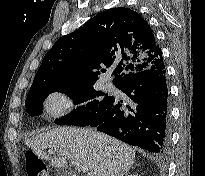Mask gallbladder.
<instances>
[{
  "instance_id": "gallbladder-1",
  "label": "gallbladder",
  "mask_w": 205,
  "mask_h": 176,
  "mask_svg": "<svg viewBox=\"0 0 205 176\" xmlns=\"http://www.w3.org/2000/svg\"><path fill=\"white\" fill-rule=\"evenodd\" d=\"M57 176H70L69 171H67V169H59L58 170V175Z\"/></svg>"
}]
</instances>
